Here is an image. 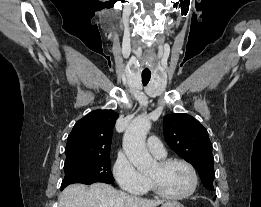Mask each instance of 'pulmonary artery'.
<instances>
[{
	"instance_id": "obj_1",
	"label": "pulmonary artery",
	"mask_w": 261,
	"mask_h": 207,
	"mask_svg": "<svg viewBox=\"0 0 261 207\" xmlns=\"http://www.w3.org/2000/svg\"><path fill=\"white\" fill-rule=\"evenodd\" d=\"M147 148L150 151V153L157 158H164L166 156V150L163 144L155 136H151L147 140Z\"/></svg>"
}]
</instances>
